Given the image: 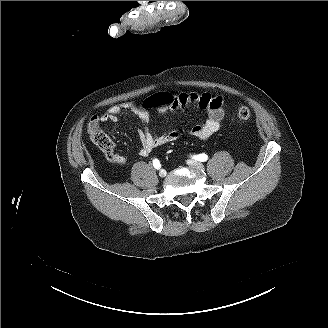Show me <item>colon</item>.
Listing matches in <instances>:
<instances>
[{"mask_svg":"<svg viewBox=\"0 0 328 328\" xmlns=\"http://www.w3.org/2000/svg\"><path fill=\"white\" fill-rule=\"evenodd\" d=\"M177 102V96L172 93L160 92L156 93L142 103L145 109L165 107L173 105ZM239 120L245 121L251 117L249 108L242 106L237 111ZM88 133L93 143L104 153H109L113 150V142L111 138L101 129L99 118L94 116L88 124Z\"/></svg>","mask_w":328,"mask_h":328,"instance_id":"1","label":"colon"}]
</instances>
